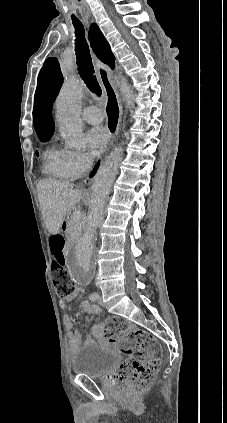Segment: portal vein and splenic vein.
Wrapping results in <instances>:
<instances>
[{"label":"portal vein and splenic vein","instance_id":"1","mask_svg":"<svg viewBox=\"0 0 227 423\" xmlns=\"http://www.w3.org/2000/svg\"><path fill=\"white\" fill-rule=\"evenodd\" d=\"M81 217V211H73L72 219H74V221H78V219H81Z\"/></svg>","mask_w":227,"mask_h":423}]
</instances>
